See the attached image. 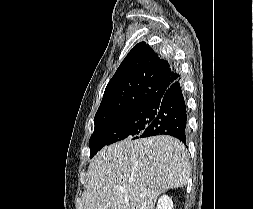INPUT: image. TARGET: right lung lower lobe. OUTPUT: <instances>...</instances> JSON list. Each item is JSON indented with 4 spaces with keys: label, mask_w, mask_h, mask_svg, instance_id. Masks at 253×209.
Wrapping results in <instances>:
<instances>
[{
    "label": "right lung lower lobe",
    "mask_w": 253,
    "mask_h": 209,
    "mask_svg": "<svg viewBox=\"0 0 253 209\" xmlns=\"http://www.w3.org/2000/svg\"><path fill=\"white\" fill-rule=\"evenodd\" d=\"M154 107V120L139 135V138L170 135L184 144L187 139V110L179 80L172 83L163 96L150 105Z\"/></svg>",
    "instance_id": "obj_1"
}]
</instances>
